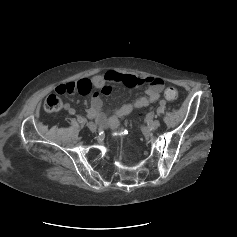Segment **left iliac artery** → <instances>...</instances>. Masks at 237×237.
<instances>
[{"instance_id":"1","label":"left iliac artery","mask_w":237,"mask_h":237,"mask_svg":"<svg viewBox=\"0 0 237 237\" xmlns=\"http://www.w3.org/2000/svg\"><path fill=\"white\" fill-rule=\"evenodd\" d=\"M159 104H160L161 106H164V105L166 104V101H165V100H161V101L159 102Z\"/></svg>"}]
</instances>
